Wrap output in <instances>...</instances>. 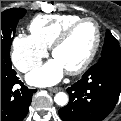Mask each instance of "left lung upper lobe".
I'll return each mask as SVG.
<instances>
[{
    "label": "left lung upper lobe",
    "instance_id": "5c2ea615",
    "mask_svg": "<svg viewBox=\"0 0 121 121\" xmlns=\"http://www.w3.org/2000/svg\"><path fill=\"white\" fill-rule=\"evenodd\" d=\"M113 58L121 59V49L116 38L107 30L99 62Z\"/></svg>",
    "mask_w": 121,
    "mask_h": 121
}]
</instances>
